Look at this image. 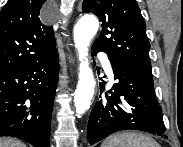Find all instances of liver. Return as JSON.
Wrapping results in <instances>:
<instances>
[{"mask_svg":"<svg viewBox=\"0 0 183 147\" xmlns=\"http://www.w3.org/2000/svg\"><path fill=\"white\" fill-rule=\"evenodd\" d=\"M0 147H26V146L19 140H15L12 138H0Z\"/></svg>","mask_w":183,"mask_h":147,"instance_id":"liver-1","label":"liver"}]
</instances>
